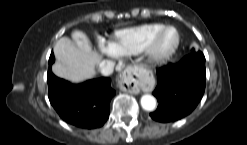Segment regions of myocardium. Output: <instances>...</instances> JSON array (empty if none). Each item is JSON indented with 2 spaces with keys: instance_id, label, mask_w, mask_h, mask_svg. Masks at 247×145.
<instances>
[{
  "instance_id": "1",
  "label": "myocardium",
  "mask_w": 247,
  "mask_h": 145,
  "mask_svg": "<svg viewBox=\"0 0 247 145\" xmlns=\"http://www.w3.org/2000/svg\"><path fill=\"white\" fill-rule=\"evenodd\" d=\"M167 30L174 31L176 35V40L171 49L166 52H160L157 49V43L160 36ZM181 43V36L178 29L171 25H164L159 28L150 38L148 44L146 45L144 52L145 63L148 67H156L168 62L177 52Z\"/></svg>"
}]
</instances>
